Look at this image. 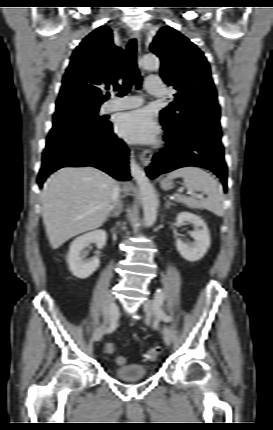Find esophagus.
Listing matches in <instances>:
<instances>
[{
    "mask_svg": "<svg viewBox=\"0 0 273 430\" xmlns=\"http://www.w3.org/2000/svg\"><path fill=\"white\" fill-rule=\"evenodd\" d=\"M128 35L132 39L137 40L138 49L141 50V34L139 31L130 28L128 30ZM152 158V151L150 149H144L142 153L140 154L139 160L143 166H149Z\"/></svg>",
    "mask_w": 273,
    "mask_h": 430,
    "instance_id": "obj_1",
    "label": "esophagus"
}]
</instances>
